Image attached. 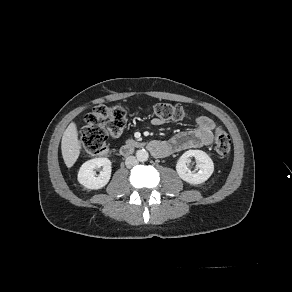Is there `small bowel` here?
I'll list each match as a JSON object with an SVG mask.
<instances>
[{"label":"small bowel","instance_id":"small-bowel-1","mask_svg":"<svg viewBox=\"0 0 292 292\" xmlns=\"http://www.w3.org/2000/svg\"><path fill=\"white\" fill-rule=\"evenodd\" d=\"M164 123L159 118H153L152 124L160 126ZM215 127L214 121L204 115L196 118V128L175 135L168 141H153L150 145L151 152L158 157H164L176 152L192 148H200L213 143Z\"/></svg>","mask_w":292,"mask_h":292}]
</instances>
